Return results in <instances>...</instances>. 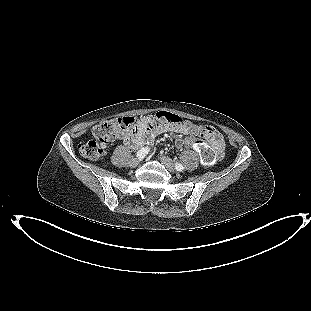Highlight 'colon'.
Returning <instances> with one entry per match:
<instances>
[{
  "instance_id": "obj_1",
  "label": "colon",
  "mask_w": 311,
  "mask_h": 311,
  "mask_svg": "<svg viewBox=\"0 0 311 311\" xmlns=\"http://www.w3.org/2000/svg\"><path fill=\"white\" fill-rule=\"evenodd\" d=\"M159 124L180 126L195 135V143L199 148L200 157L206 164H212L216 159L224 155L223 147H214L203 144L207 131L195 127L189 121L167 111H159L156 114ZM138 126V121L132 116H123L107 119L96 124L92 129L91 137L79 146V152L85 158L97 160L105 155L107 145L117 139L126 137Z\"/></svg>"
}]
</instances>
